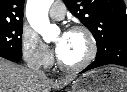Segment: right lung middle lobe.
<instances>
[{
    "mask_svg": "<svg viewBox=\"0 0 127 92\" xmlns=\"http://www.w3.org/2000/svg\"><path fill=\"white\" fill-rule=\"evenodd\" d=\"M22 29L23 24L0 25V48L14 53H22Z\"/></svg>",
    "mask_w": 127,
    "mask_h": 92,
    "instance_id": "1",
    "label": "right lung middle lobe"
}]
</instances>
